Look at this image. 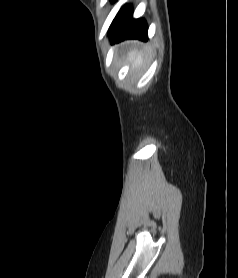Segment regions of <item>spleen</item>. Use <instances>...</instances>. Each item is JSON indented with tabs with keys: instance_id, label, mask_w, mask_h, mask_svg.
<instances>
[{
	"instance_id": "3e777b00",
	"label": "spleen",
	"mask_w": 238,
	"mask_h": 278,
	"mask_svg": "<svg viewBox=\"0 0 238 278\" xmlns=\"http://www.w3.org/2000/svg\"><path fill=\"white\" fill-rule=\"evenodd\" d=\"M129 59L133 60V67H139L143 64V56L141 53L136 54L135 52H131L129 54Z\"/></svg>"
}]
</instances>
